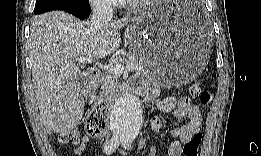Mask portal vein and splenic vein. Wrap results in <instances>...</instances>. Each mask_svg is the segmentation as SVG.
<instances>
[{
    "label": "portal vein and splenic vein",
    "mask_w": 261,
    "mask_h": 156,
    "mask_svg": "<svg viewBox=\"0 0 261 156\" xmlns=\"http://www.w3.org/2000/svg\"><path fill=\"white\" fill-rule=\"evenodd\" d=\"M93 59L91 57H80L78 59L79 64H87L92 63ZM108 68L115 74L121 75L123 71L126 69L128 71H134L136 69V66L133 64H126V66H123L122 64L116 63V64H109Z\"/></svg>",
    "instance_id": "1"
}]
</instances>
